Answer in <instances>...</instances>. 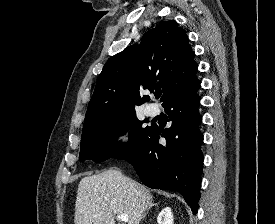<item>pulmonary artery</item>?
Returning a JSON list of instances; mask_svg holds the SVG:
<instances>
[{
	"label": "pulmonary artery",
	"mask_w": 275,
	"mask_h": 224,
	"mask_svg": "<svg viewBox=\"0 0 275 224\" xmlns=\"http://www.w3.org/2000/svg\"><path fill=\"white\" fill-rule=\"evenodd\" d=\"M146 113L149 115V116H154L157 114V108L154 106V105H149L147 106L146 108Z\"/></svg>",
	"instance_id": "obj_1"
}]
</instances>
